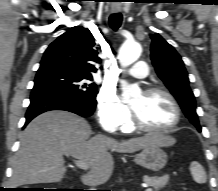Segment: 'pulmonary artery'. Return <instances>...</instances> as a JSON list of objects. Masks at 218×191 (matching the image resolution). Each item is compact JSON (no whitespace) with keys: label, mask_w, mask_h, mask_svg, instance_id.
Here are the masks:
<instances>
[{"label":"pulmonary artery","mask_w":218,"mask_h":191,"mask_svg":"<svg viewBox=\"0 0 218 191\" xmlns=\"http://www.w3.org/2000/svg\"><path fill=\"white\" fill-rule=\"evenodd\" d=\"M125 75H128L133 78H145L148 75V66L144 61H138L134 67L129 69Z\"/></svg>","instance_id":"pulmonary-artery-1"}]
</instances>
